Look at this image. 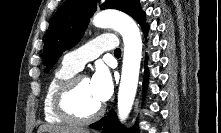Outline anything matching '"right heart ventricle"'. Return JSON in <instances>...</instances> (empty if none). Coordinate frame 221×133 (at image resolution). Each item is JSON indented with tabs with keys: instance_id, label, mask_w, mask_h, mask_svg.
Here are the masks:
<instances>
[{
	"instance_id": "obj_1",
	"label": "right heart ventricle",
	"mask_w": 221,
	"mask_h": 133,
	"mask_svg": "<svg viewBox=\"0 0 221 133\" xmlns=\"http://www.w3.org/2000/svg\"><path fill=\"white\" fill-rule=\"evenodd\" d=\"M78 70L69 66L66 63H62L52 73L44 92L43 98V115L44 119L48 123L52 124H64L67 121L61 118L54 110L53 98L58 87L67 79L76 75Z\"/></svg>"
}]
</instances>
